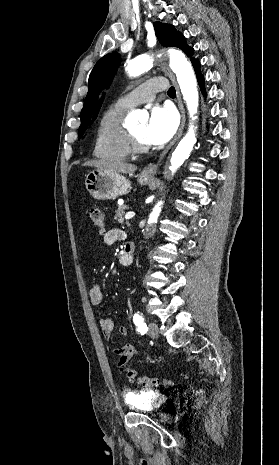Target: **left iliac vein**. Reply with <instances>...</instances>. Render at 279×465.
<instances>
[{"label": "left iliac vein", "mask_w": 279, "mask_h": 465, "mask_svg": "<svg viewBox=\"0 0 279 465\" xmlns=\"http://www.w3.org/2000/svg\"><path fill=\"white\" fill-rule=\"evenodd\" d=\"M148 334L153 338L158 337V326L155 322H150L148 324Z\"/></svg>", "instance_id": "4c4485c4"}]
</instances>
